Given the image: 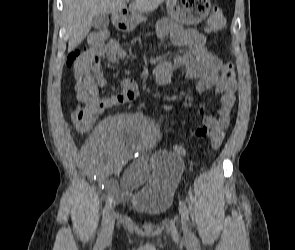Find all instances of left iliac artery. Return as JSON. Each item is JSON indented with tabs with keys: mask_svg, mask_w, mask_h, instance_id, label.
<instances>
[{
	"mask_svg": "<svg viewBox=\"0 0 295 250\" xmlns=\"http://www.w3.org/2000/svg\"><path fill=\"white\" fill-rule=\"evenodd\" d=\"M179 205H180V208L183 210L184 215L186 216L187 220H189V211H188V208H187V206H186V203H185L184 201L181 200V201L179 202ZM191 236H192V238H195V236H194L193 233H191Z\"/></svg>",
	"mask_w": 295,
	"mask_h": 250,
	"instance_id": "left-iliac-artery-1",
	"label": "left iliac artery"
}]
</instances>
